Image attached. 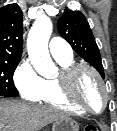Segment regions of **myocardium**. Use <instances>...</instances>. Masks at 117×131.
I'll return each mask as SVG.
<instances>
[{
	"label": "myocardium",
	"instance_id": "1",
	"mask_svg": "<svg viewBox=\"0 0 117 131\" xmlns=\"http://www.w3.org/2000/svg\"><path fill=\"white\" fill-rule=\"evenodd\" d=\"M84 71L89 72L96 79L102 91L103 104L101 109L98 111L92 109L87 103L82 101L76 93V81L79 75ZM58 81L65 98L78 108L91 114H99L105 110L108 104V92L102 77L92 66L88 64H72L61 70Z\"/></svg>",
	"mask_w": 117,
	"mask_h": 131
}]
</instances>
